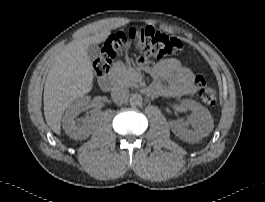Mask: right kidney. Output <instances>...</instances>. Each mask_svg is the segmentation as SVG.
Segmentation results:
<instances>
[{"instance_id":"obj_1","label":"right kidney","mask_w":265,"mask_h":202,"mask_svg":"<svg viewBox=\"0 0 265 202\" xmlns=\"http://www.w3.org/2000/svg\"><path fill=\"white\" fill-rule=\"evenodd\" d=\"M90 101V96H84L76 99L68 106L62 119V126L70 138L75 140L86 139L96 128L101 116L100 111H93L90 116L82 119L81 125H77L75 122L77 115L89 105Z\"/></svg>"}]
</instances>
